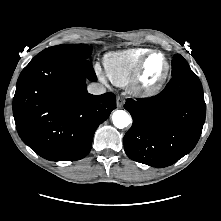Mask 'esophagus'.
<instances>
[{"label": "esophagus", "mask_w": 221, "mask_h": 221, "mask_svg": "<svg viewBox=\"0 0 221 221\" xmlns=\"http://www.w3.org/2000/svg\"><path fill=\"white\" fill-rule=\"evenodd\" d=\"M125 103V99L121 96L117 97V107L122 108Z\"/></svg>", "instance_id": "esophagus-1"}]
</instances>
